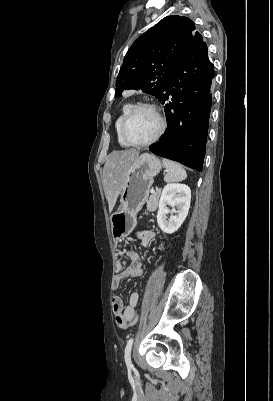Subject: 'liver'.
<instances>
[{
    "instance_id": "6515ba94",
    "label": "liver",
    "mask_w": 273,
    "mask_h": 401,
    "mask_svg": "<svg viewBox=\"0 0 273 401\" xmlns=\"http://www.w3.org/2000/svg\"><path fill=\"white\" fill-rule=\"evenodd\" d=\"M140 150H113L107 156L103 168V184L109 205V213L113 211L117 196H119L126 182V170L139 158Z\"/></svg>"
}]
</instances>
